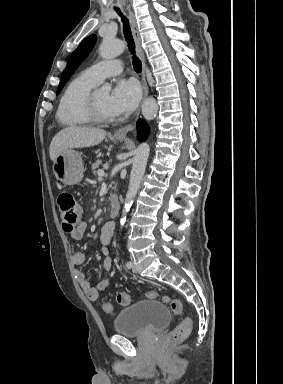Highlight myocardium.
<instances>
[{"label":"myocardium","mask_w":283,"mask_h":384,"mask_svg":"<svg viewBox=\"0 0 283 384\" xmlns=\"http://www.w3.org/2000/svg\"><path fill=\"white\" fill-rule=\"evenodd\" d=\"M80 111L88 121L94 124L108 125L116 121L115 118H106L100 114L96 104L94 91H90L83 99Z\"/></svg>","instance_id":"1"}]
</instances>
